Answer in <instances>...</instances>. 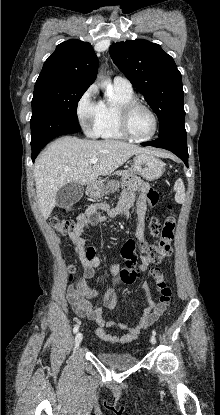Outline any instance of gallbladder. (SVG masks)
Here are the masks:
<instances>
[{
	"label": "gallbladder",
	"instance_id": "bac80fb5",
	"mask_svg": "<svg viewBox=\"0 0 220 415\" xmlns=\"http://www.w3.org/2000/svg\"><path fill=\"white\" fill-rule=\"evenodd\" d=\"M84 194V187L78 183H68L60 188L56 195L58 207L69 208L77 203Z\"/></svg>",
	"mask_w": 220,
	"mask_h": 415
}]
</instances>
